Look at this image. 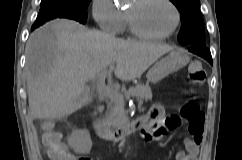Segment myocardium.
Segmentation results:
<instances>
[{
	"label": "myocardium",
	"mask_w": 242,
	"mask_h": 160,
	"mask_svg": "<svg viewBox=\"0 0 242 160\" xmlns=\"http://www.w3.org/2000/svg\"><path fill=\"white\" fill-rule=\"evenodd\" d=\"M140 2H143L144 0H139ZM167 4L170 5V7L173 9L175 13V23L172 29L164 34H149L144 32L140 27L137 25L133 15L129 12H126V18L129 25V28L131 32L138 38L145 39V40H163L171 37L179 28L181 23V13L177 5L174 3L173 0H164Z\"/></svg>",
	"instance_id": "obj_1"
}]
</instances>
